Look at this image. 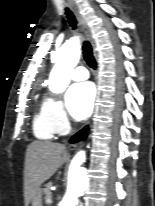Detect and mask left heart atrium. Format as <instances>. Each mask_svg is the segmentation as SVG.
<instances>
[{"label":"left heart atrium","instance_id":"left-heart-atrium-1","mask_svg":"<svg viewBox=\"0 0 155 206\" xmlns=\"http://www.w3.org/2000/svg\"><path fill=\"white\" fill-rule=\"evenodd\" d=\"M95 100V88L90 82L72 85L66 94V103L71 115L78 119H86L92 112Z\"/></svg>","mask_w":155,"mask_h":206}]
</instances>
